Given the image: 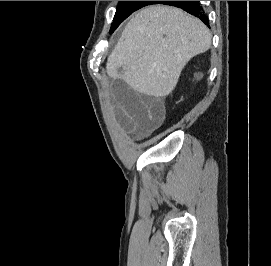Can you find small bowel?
Here are the masks:
<instances>
[{
  "label": "small bowel",
  "mask_w": 271,
  "mask_h": 266,
  "mask_svg": "<svg viewBox=\"0 0 271 266\" xmlns=\"http://www.w3.org/2000/svg\"><path fill=\"white\" fill-rule=\"evenodd\" d=\"M132 71L128 65L114 70L113 93L117 115L129 131L142 137L156 128L164 119V103L161 98L144 96L132 86Z\"/></svg>",
  "instance_id": "small-bowel-1"
}]
</instances>
